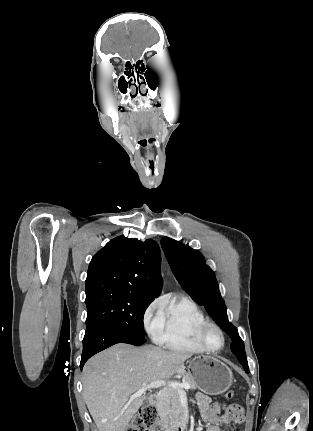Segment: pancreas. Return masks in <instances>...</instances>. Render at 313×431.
<instances>
[{
    "instance_id": "obj_1",
    "label": "pancreas",
    "mask_w": 313,
    "mask_h": 431,
    "mask_svg": "<svg viewBox=\"0 0 313 431\" xmlns=\"http://www.w3.org/2000/svg\"><path fill=\"white\" fill-rule=\"evenodd\" d=\"M182 383H188L191 389H196V382L185 372H182ZM180 382V381H177ZM156 410L165 425L174 428L183 423V408L180 403V395L177 389L166 387L157 397Z\"/></svg>"
}]
</instances>
